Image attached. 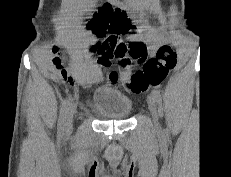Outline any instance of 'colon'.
Returning a JSON list of instances; mask_svg holds the SVG:
<instances>
[{
  "label": "colon",
  "instance_id": "5ec220e1",
  "mask_svg": "<svg viewBox=\"0 0 231 177\" xmlns=\"http://www.w3.org/2000/svg\"><path fill=\"white\" fill-rule=\"evenodd\" d=\"M88 28L102 40L92 48L99 64L108 66L113 58H120V64L126 65L131 58L142 65L127 81L128 88L134 93H140L149 86H159L165 80L168 72L176 65V53L170 46H162L157 50L155 56L148 57L147 48L142 42L128 46L121 41L120 37L134 32V27L125 12L110 4H104L98 8L89 22ZM54 54L53 62L60 69L66 55L59 48L54 49Z\"/></svg>",
  "mask_w": 231,
  "mask_h": 177
}]
</instances>
